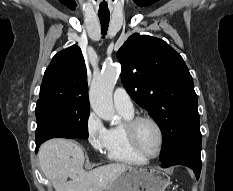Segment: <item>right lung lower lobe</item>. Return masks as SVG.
I'll use <instances>...</instances> for the list:
<instances>
[{"instance_id":"obj_1","label":"right lung lower lobe","mask_w":233,"mask_h":191,"mask_svg":"<svg viewBox=\"0 0 233 191\" xmlns=\"http://www.w3.org/2000/svg\"><path fill=\"white\" fill-rule=\"evenodd\" d=\"M43 142H36V152L38 151L39 146L42 144Z\"/></svg>"}]
</instances>
